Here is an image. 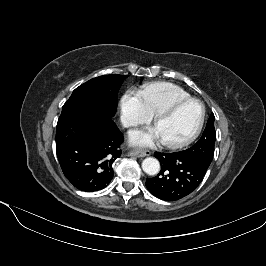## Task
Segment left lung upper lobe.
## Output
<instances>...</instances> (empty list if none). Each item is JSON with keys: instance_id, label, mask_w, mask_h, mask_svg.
Returning <instances> with one entry per match:
<instances>
[{"instance_id": "1", "label": "left lung upper lobe", "mask_w": 266, "mask_h": 266, "mask_svg": "<svg viewBox=\"0 0 266 266\" xmlns=\"http://www.w3.org/2000/svg\"><path fill=\"white\" fill-rule=\"evenodd\" d=\"M215 140L216 132L214 128V114L212 113L199 141L189 149L181 151V153L185 157L193 159L203 167L208 168L214 155Z\"/></svg>"}]
</instances>
